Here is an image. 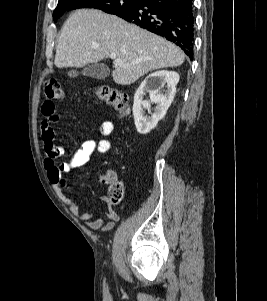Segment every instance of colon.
Instances as JSON below:
<instances>
[{
    "instance_id": "colon-1",
    "label": "colon",
    "mask_w": 267,
    "mask_h": 301,
    "mask_svg": "<svg viewBox=\"0 0 267 301\" xmlns=\"http://www.w3.org/2000/svg\"><path fill=\"white\" fill-rule=\"evenodd\" d=\"M92 94L97 98L113 105L121 115H127L129 112L128 97L123 92L108 86H100L92 90ZM64 92L59 83L55 80H47L44 85L45 99H62ZM124 195V186L116 178L112 179L109 187V198L112 203H119Z\"/></svg>"
}]
</instances>
